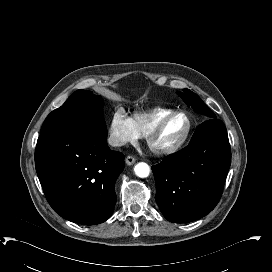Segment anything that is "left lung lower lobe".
Here are the masks:
<instances>
[{
  "instance_id": "1",
  "label": "left lung lower lobe",
  "mask_w": 272,
  "mask_h": 272,
  "mask_svg": "<svg viewBox=\"0 0 272 272\" xmlns=\"http://www.w3.org/2000/svg\"><path fill=\"white\" fill-rule=\"evenodd\" d=\"M230 164L225 125L208 119L183 151L152 167L156 202L165 218L187 223L211 212L221 198Z\"/></svg>"
}]
</instances>
